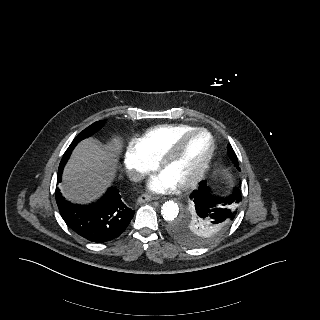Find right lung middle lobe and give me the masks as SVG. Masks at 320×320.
<instances>
[{
	"instance_id": "dd1d6c3e",
	"label": "right lung middle lobe",
	"mask_w": 320,
	"mask_h": 320,
	"mask_svg": "<svg viewBox=\"0 0 320 320\" xmlns=\"http://www.w3.org/2000/svg\"><path fill=\"white\" fill-rule=\"evenodd\" d=\"M102 126V122H95L92 125H90L89 127H87L86 129H84L74 140L73 142L70 144V146L68 147V149L66 150V152L63 155V158L60 162L59 168H58V173H62V170L68 160V158L70 157L72 150L74 149V147L83 139L93 135L95 132H97Z\"/></svg>"
}]
</instances>
